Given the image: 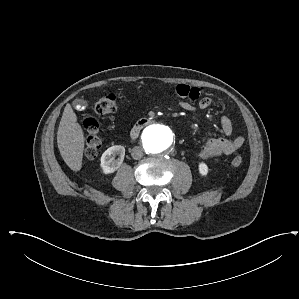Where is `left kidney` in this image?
I'll return each mask as SVG.
<instances>
[{
  "label": "left kidney",
  "instance_id": "left-kidney-1",
  "mask_svg": "<svg viewBox=\"0 0 299 299\" xmlns=\"http://www.w3.org/2000/svg\"><path fill=\"white\" fill-rule=\"evenodd\" d=\"M198 170L202 176H206L208 173V166L205 163L201 162L198 165Z\"/></svg>",
  "mask_w": 299,
  "mask_h": 299
}]
</instances>
